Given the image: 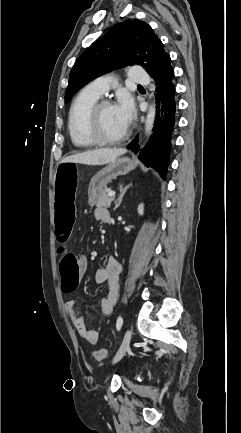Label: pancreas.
<instances>
[{
	"mask_svg": "<svg viewBox=\"0 0 241 433\" xmlns=\"http://www.w3.org/2000/svg\"><path fill=\"white\" fill-rule=\"evenodd\" d=\"M114 200V197H109L108 196V190L104 189L99 196L97 197V199L95 200L94 205H96L97 207H110L111 202Z\"/></svg>",
	"mask_w": 241,
	"mask_h": 433,
	"instance_id": "pancreas-1",
	"label": "pancreas"
}]
</instances>
